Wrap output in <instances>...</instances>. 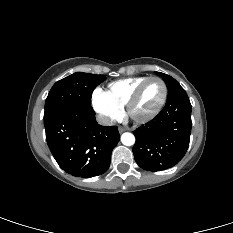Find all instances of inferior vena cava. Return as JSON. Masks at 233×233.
Instances as JSON below:
<instances>
[{
	"label": "inferior vena cava",
	"mask_w": 233,
	"mask_h": 233,
	"mask_svg": "<svg viewBox=\"0 0 233 233\" xmlns=\"http://www.w3.org/2000/svg\"><path fill=\"white\" fill-rule=\"evenodd\" d=\"M96 119L99 124L104 125V126H110V125H113L114 123L113 119H111L108 116H104V115H98Z\"/></svg>",
	"instance_id": "1"
}]
</instances>
